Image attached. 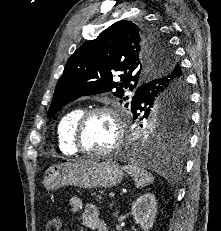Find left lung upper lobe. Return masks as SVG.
I'll use <instances>...</instances> for the list:
<instances>
[{"label": "left lung upper lobe", "instance_id": "obj_1", "mask_svg": "<svg viewBox=\"0 0 221 231\" xmlns=\"http://www.w3.org/2000/svg\"><path fill=\"white\" fill-rule=\"evenodd\" d=\"M152 65L156 68L150 70ZM175 69L180 70V65L173 62L167 39L156 27L118 21L96 39L82 44L70 56L56 85L48 115H54L62 106L80 96L114 88L116 92L113 94L123 98L124 89L132 90L140 77H161ZM116 72L120 73V83L112 80ZM173 97L187 99V102L176 107L170 102ZM188 104L187 90L178 86L171 94L156 95L139 105L132 100L131 111L134 119L138 116L140 120L154 117L157 124L152 134L157 137L170 132V138H177L186 135Z\"/></svg>", "mask_w": 221, "mask_h": 231}]
</instances>
